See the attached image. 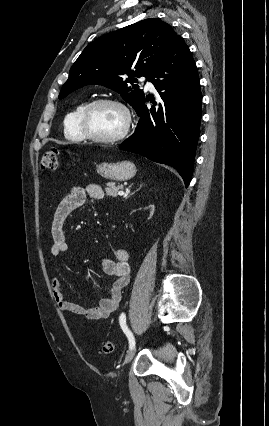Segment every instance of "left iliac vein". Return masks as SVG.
I'll return each mask as SVG.
<instances>
[{
  "label": "left iliac vein",
  "instance_id": "left-iliac-vein-1",
  "mask_svg": "<svg viewBox=\"0 0 269 426\" xmlns=\"http://www.w3.org/2000/svg\"><path fill=\"white\" fill-rule=\"evenodd\" d=\"M135 352H136V347L134 346L132 349H130V351L125 356V359H124L125 364H128L131 362V360L133 359L135 355Z\"/></svg>",
  "mask_w": 269,
  "mask_h": 426
}]
</instances>
